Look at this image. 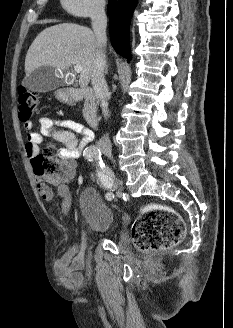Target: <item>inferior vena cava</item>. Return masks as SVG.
Here are the masks:
<instances>
[{
    "mask_svg": "<svg viewBox=\"0 0 233 328\" xmlns=\"http://www.w3.org/2000/svg\"><path fill=\"white\" fill-rule=\"evenodd\" d=\"M92 28L94 30L96 41H97V51L92 67L91 83L95 92L97 99L101 102L100 106L102 108V113L105 118L110 116L108 110V87L104 77V69L106 66L105 59V46L107 43L106 37V26L107 17L105 14V3H99L93 10L91 14ZM97 146L103 152H109L111 150V141L108 134L104 135L99 139Z\"/></svg>",
    "mask_w": 233,
    "mask_h": 328,
    "instance_id": "602c4592",
    "label": "inferior vena cava"
}]
</instances>
